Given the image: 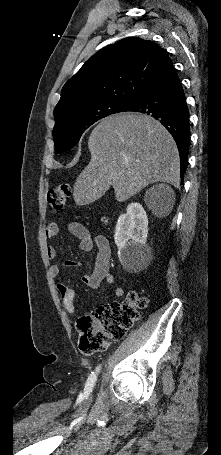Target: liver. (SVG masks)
Instances as JSON below:
<instances>
[{
    "instance_id": "1",
    "label": "liver",
    "mask_w": 221,
    "mask_h": 455,
    "mask_svg": "<svg viewBox=\"0 0 221 455\" xmlns=\"http://www.w3.org/2000/svg\"><path fill=\"white\" fill-rule=\"evenodd\" d=\"M89 164L74 184L78 206L88 205L113 186L124 202L147 185L180 183V158L170 133L154 118L123 112L104 118L88 140Z\"/></svg>"
}]
</instances>
